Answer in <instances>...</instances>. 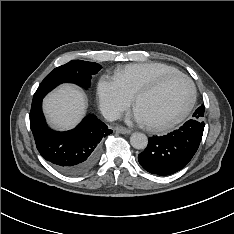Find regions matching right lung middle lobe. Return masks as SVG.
<instances>
[{
	"label": "right lung middle lobe",
	"instance_id": "1",
	"mask_svg": "<svg viewBox=\"0 0 234 234\" xmlns=\"http://www.w3.org/2000/svg\"><path fill=\"white\" fill-rule=\"evenodd\" d=\"M102 68L95 62L72 60L51 71L42 81L33 96V101L44 98V96L61 83H75L81 87L88 88L91 84L92 75Z\"/></svg>",
	"mask_w": 234,
	"mask_h": 234
}]
</instances>
